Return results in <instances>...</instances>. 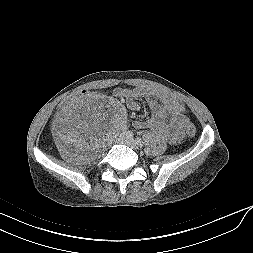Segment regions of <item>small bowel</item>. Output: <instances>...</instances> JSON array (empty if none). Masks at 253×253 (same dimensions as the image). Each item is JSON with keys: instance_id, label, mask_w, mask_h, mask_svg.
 <instances>
[{"instance_id": "obj_1", "label": "small bowel", "mask_w": 253, "mask_h": 253, "mask_svg": "<svg viewBox=\"0 0 253 253\" xmlns=\"http://www.w3.org/2000/svg\"><path fill=\"white\" fill-rule=\"evenodd\" d=\"M114 96L125 102L131 110L140 108L135 100L136 98H146L150 103L153 115L147 121H135L134 127L137 129L149 128L171 144L179 143L182 140L183 127L187 122V112L184 104L175 97L143 89L129 88H116ZM69 109L64 111L65 114L59 121L58 127L61 133L67 131V112Z\"/></svg>"}]
</instances>
